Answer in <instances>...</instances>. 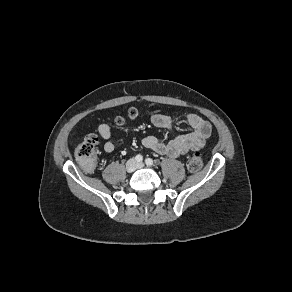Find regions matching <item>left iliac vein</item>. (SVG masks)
<instances>
[{
	"label": "left iliac vein",
	"mask_w": 292,
	"mask_h": 292,
	"mask_svg": "<svg viewBox=\"0 0 292 292\" xmlns=\"http://www.w3.org/2000/svg\"><path fill=\"white\" fill-rule=\"evenodd\" d=\"M143 167H144V163L141 162L137 164V168H143Z\"/></svg>",
	"instance_id": "1"
}]
</instances>
